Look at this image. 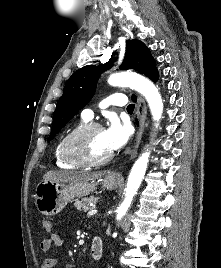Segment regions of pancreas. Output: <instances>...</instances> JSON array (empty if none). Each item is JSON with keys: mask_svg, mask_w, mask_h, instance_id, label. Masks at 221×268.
Wrapping results in <instances>:
<instances>
[{"mask_svg": "<svg viewBox=\"0 0 221 268\" xmlns=\"http://www.w3.org/2000/svg\"><path fill=\"white\" fill-rule=\"evenodd\" d=\"M98 199H99L98 197L91 196V197L83 198L82 200L76 201L74 205L78 210L88 211L90 209L89 204L96 203Z\"/></svg>", "mask_w": 221, "mask_h": 268, "instance_id": "1", "label": "pancreas"}]
</instances>
